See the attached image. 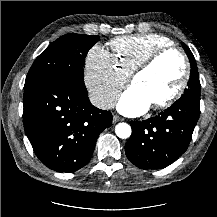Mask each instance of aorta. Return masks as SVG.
Segmentation results:
<instances>
[{
  "label": "aorta",
  "mask_w": 217,
  "mask_h": 217,
  "mask_svg": "<svg viewBox=\"0 0 217 217\" xmlns=\"http://www.w3.org/2000/svg\"><path fill=\"white\" fill-rule=\"evenodd\" d=\"M131 127L127 123H119L115 127L116 135L121 139H127L131 136Z\"/></svg>",
  "instance_id": "1"
}]
</instances>
